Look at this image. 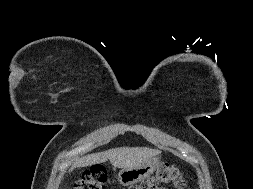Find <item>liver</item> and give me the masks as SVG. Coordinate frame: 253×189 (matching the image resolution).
Segmentation results:
<instances>
[{
  "instance_id": "obj_1",
  "label": "liver",
  "mask_w": 253,
  "mask_h": 189,
  "mask_svg": "<svg viewBox=\"0 0 253 189\" xmlns=\"http://www.w3.org/2000/svg\"><path fill=\"white\" fill-rule=\"evenodd\" d=\"M158 150L147 147H120L110 149L104 152L90 154L80 158L74 167H86L99 164L110 160L111 164L117 168H132L139 166L149 159L155 157Z\"/></svg>"
}]
</instances>
